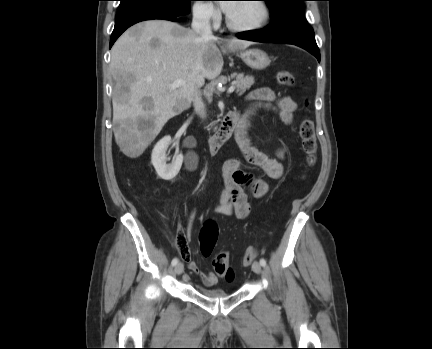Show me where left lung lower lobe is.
<instances>
[{
    "label": "left lung lower lobe",
    "instance_id": "obj_1",
    "mask_svg": "<svg viewBox=\"0 0 432 349\" xmlns=\"http://www.w3.org/2000/svg\"><path fill=\"white\" fill-rule=\"evenodd\" d=\"M236 36L256 42L293 44L307 50L320 62L314 31L307 23H273L261 30L240 32Z\"/></svg>",
    "mask_w": 432,
    "mask_h": 349
}]
</instances>
